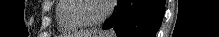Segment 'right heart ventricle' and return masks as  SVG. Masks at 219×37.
I'll use <instances>...</instances> for the list:
<instances>
[{
    "mask_svg": "<svg viewBox=\"0 0 219 37\" xmlns=\"http://www.w3.org/2000/svg\"><path fill=\"white\" fill-rule=\"evenodd\" d=\"M74 0H58L55 5L56 19L59 30L63 33L74 32L83 26L72 15Z\"/></svg>",
    "mask_w": 219,
    "mask_h": 37,
    "instance_id": "right-heart-ventricle-1",
    "label": "right heart ventricle"
}]
</instances>
